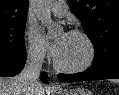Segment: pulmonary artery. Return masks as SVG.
<instances>
[{
    "instance_id": "1",
    "label": "pulmonary artery",
    "mask_w": 119,
    "mask_h": 95,
    "mask_svg": "<svg viewBox=\"0 0 119 95\" xmlns=\"http://www.w3.org/2000/svg\"><path fill=\"white\" fill-rule=\"evenodd\" d=\"M51 12L57 17H63L67 14L68 8L64 1H56L52 7Z\"/></svg>"
}]
</instances>
